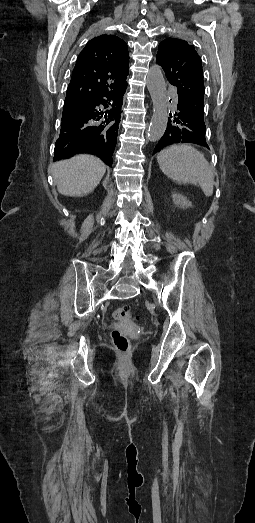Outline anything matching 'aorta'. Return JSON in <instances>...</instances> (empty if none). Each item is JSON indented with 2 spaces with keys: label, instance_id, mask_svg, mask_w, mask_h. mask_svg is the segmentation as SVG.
I'll list each match as a JSON object with an SVG mask.
<instances>
[{
  "label": "aorta",
  "instance_id": "aorta-1",
  "mask_svg": "<svg viewBox=\"0 0 255 523\" xmlns=\"http://www.w3.org/2000/svg\"><path fill=\"white\" fill-rule=\"evenodd\" d=\"M146 82L153 103L148 139L156 142L163 136L168 123L167 90L161 67H150Z\"/></svg>",
  "mask_w": 255,
  "mask_h": 523
}]
</instances>
